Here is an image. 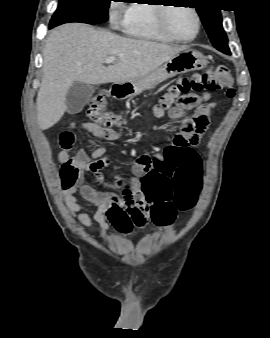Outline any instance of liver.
I'll return each mask as SVG.
<instances>
[{
    "label": "liver",
    "mask_w": 270,
    "mask_h": 338,
    "mask_svg": "<svg viewBox=\"0 0 270 338\" xmlns=\"http://www.w3.org/2000/svg\"><path fill=\"white\" fill-rule=\"evenodd\" d=\"M142 39L120 37L81 23L53 29L43 50V77L36 100L41 130L55 125L64 115L66 94L76 82L123 84L157 69L186 50ZM117 61L105 67L104 61Z\"/></svg>",
    "instance_id": "liver-1"
}]
</instances>
